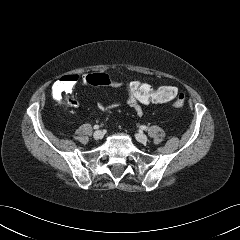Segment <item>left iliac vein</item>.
<instances>
[{
	"mask_svg": "<svg viewBox=\"0 0 240 240\" xmlns=\"http://www.w3.org/2000/svg\"><path fill=\"white\" fill-rule=\"evenodd\" d=\"M136 139L141 143H146L148 141L147 136L143 133H137L136 134Z\"/></svg>",
	"mask_w": 240,
	"mask_h": 240,
	"instance_id": "obj_1",
	"label": "left iliac vein"
}]
</instances>
